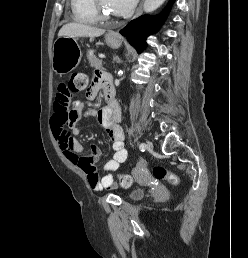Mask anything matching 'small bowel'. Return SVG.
<instances>
[{
	"label": "small bowel",
	"mask_w": 248,
	"mask_h": 258,
	"mask_svg": "<svg viewBox=\"0 0 248 258\" xmlns=\"http://www.w3.org/2000/svg\"><path fill=\"white\" fill-rule=\"evenodd\" d=\"M104 76L110 80L109 75H100L99 79L86 93L88 99H94L101 86L105 89L103 82ZM112 104L113 106L111 108L105 107L99 111L89 110L84 112V102L77 100L73 102V106L70 108L71 94L64 84L58 88L53 103L51 127L58 145L69 161L85 174L91 189L95 192L116 187L113 172L127 159L124 132L119 124L120 107L116 101H113ZM83 116L97 118L107 131L112 143L114 154L112 159L104 164L103 171L106 174L102 178L98 177L94 166V163L102 154L101 147L97 144H92L90 146V153H86L81 143L76 139L80 133L78 124Z\"/></svg>",
	"instance_id": "c3829d8e"
}]
</instances>
